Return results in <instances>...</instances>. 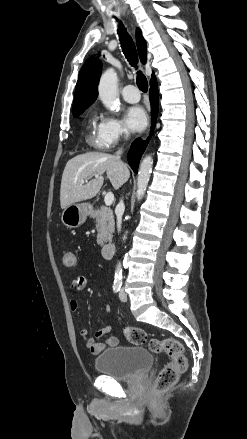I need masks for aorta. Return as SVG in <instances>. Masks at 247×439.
Instances as JSON below:
<instances>
[{
	"label": "aorta",
	"mask_w": 247,
	"mask_h": 439,
	"mask_svg": "<svg viewBox=\"0 0 247 439\" xmlns=\"http://www.w3.org/2000/svg\"><path fill=\"white\" fill-rule=\"evenodd\" d=\"M117 74L113 68L107 69L101 76L98 85L99 98L104 104V106L111 110H118L117 102ZM153 159L151 156H146L139 167L138 177H137V200L140 201L146 191L150 175L152 172ZM126 236H124V239ZM122 281V266L119 262L116 266L114 283L120 284Z\"/></svg>",
	"instance_id": "aorta-1"
}]
</instances>
